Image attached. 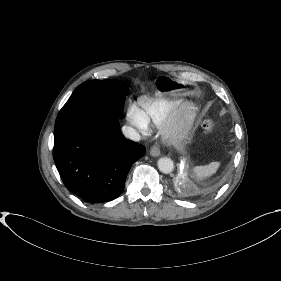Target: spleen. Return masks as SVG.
Here are the masks:
<instances>
[{"label": "spleen", "mask_w": 281, "mask_h": 281, "mask_svg": "<svg viewBox=\"0 0 281 281\" xmlns=\"http://www.w3.org/2000/svg\"><path fill=\"white\" fill-rule=\"evenodd\" d=\"M219 166V162H211L208 165L194 167L193 172L197 180H202L206 177L213 175L217 171Z\"/></svg>", "instance_id": "1"}]
</instances>
